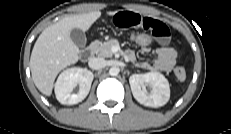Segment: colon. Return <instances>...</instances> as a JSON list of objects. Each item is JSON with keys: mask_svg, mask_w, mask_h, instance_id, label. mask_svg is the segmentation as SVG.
I'll return each instance as SVG.
<instances>
[{"mask_svg": "<svg viewBox=\"0 0 231 134\" xmlns=\"http://www.w3.org/2000/svg\"><path fill=\"white\" fill-rule=\"evenodd\" d=\"M120 34L124 37V39L127 42L139 46L141 48L149 47L154 40V38L147 33L124 32ZM174 74L180 81L186 78V71L182 66L175 67Z\"/></svg>", "mask_w": 231, "mask_h": 134, "instance_id": "5ec220e1", "label": "colon"}]
</instances>
